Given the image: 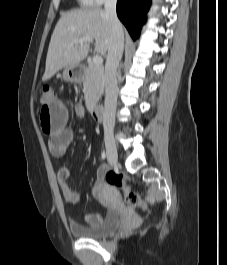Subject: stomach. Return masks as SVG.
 I'll return each instance as SVG.
<instances>
[{
  "label": "stomach",
  "mask_w": 227,
  "mask_h": 265,
  "mask_svg": "<svg viewBox=\"0 0 227 265\" xmlns=\"http://www.w3.org/2000/svg\"><path fill=\"white\" fill-rule=\"evenodd\" d=\"M62 79L71 83H80L84 79V72L81 65L66 67L62 73Z\"/></svg>",
  "instance_id": "0dacf381"
}]
</instances>
